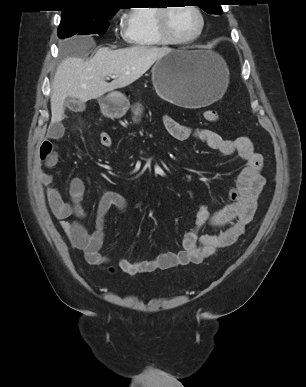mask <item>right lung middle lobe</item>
Returning <instances> with one entry per match:
<instances>
[{
	"label": "right lung middle lobe",
	"instance_id": "1",
	"mask_svg": "<svg viewBox=\"0 0 306 387\" xmlns=\"http://www.w3.org/2000/svg\"><path fill=\"white\" fill-rule=\"evenodd\" d=\"M117 10H106L97 13H68L62 14L58 29V37L66 38L74 34H98L102 36L110 20Z\"/></svg>",
	"mask_w": 306,
	"mask_h": 387
}]
</instances>
